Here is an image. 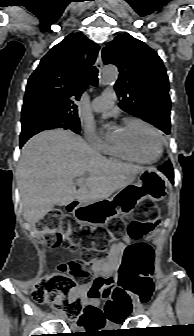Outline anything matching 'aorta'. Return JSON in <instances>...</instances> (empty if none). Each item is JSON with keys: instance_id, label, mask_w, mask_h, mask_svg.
<instances>
[{"instance_id": "obj_1", "label": "aorta", "mask_w": 194, "mask_h": 336, "mask_svg": "<svg viewBox=\"0 0 194 336\" xmlns=\"http://www.w3.org/2000/svg\"><path fill=\"white\" fill-rule=\"evenodd\" d=\"M118 78V70L113 65H108L102 68L100 83L109 85L114 83Z\"/></svg>"}]
</instances>
